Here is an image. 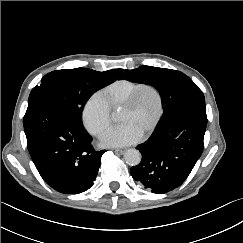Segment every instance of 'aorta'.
I'll list each match as a JSON object with an SVG mask.
<instances>
[{"instance_id":"1","label":"aorta","mask_w":243,"mask_h":243,"mask_svg":"<svg viewBox=\"0 0 243 243\" xmlns=\"http://www.w3.org/2000/svg\"><path fill=\"white\" fill-rule=\"evenodd\" d=\"M125 162L130 166H137L141 162V154L136 149H129L124 154Z\"/></svg>"}]
</instances>
